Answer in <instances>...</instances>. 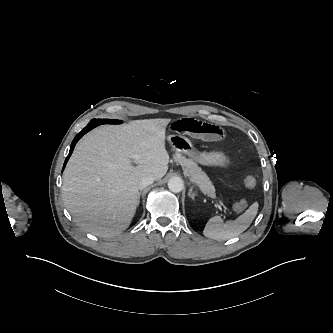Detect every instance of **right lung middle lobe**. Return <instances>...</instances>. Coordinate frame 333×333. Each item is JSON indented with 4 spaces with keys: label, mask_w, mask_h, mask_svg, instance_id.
I'll return each instance as SVG.
<instances>
[{
    "label": "right lung middle lobe",
    "mask_w": 333,
    "mask_h": 333,
    "mask_svg": "<svg viewBox=\"0 0 333 333\" xmlns=\"http://www.w3.org/2000/svg\"><path fill=\"white\" fill-rule=\"evenodd\" d=\"M103 120V124H120L121 121L120 120H116V119H101Z\"/></svg>",
    "instance_id": "1"
}]
</instances>
